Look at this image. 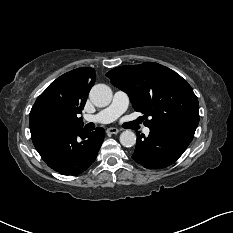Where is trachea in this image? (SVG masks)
<instances>
[{
	"label": "trachea",
	"mask_w": 233,
	"mask_h": 233,
	"mask_svg": "<svg viewBox=\"0 0 233 233\" xmlns=\"http://www.w3.org/2000/svg\"><path fill=\"white\" fill-rule=\"evenodd\" d=\"M88 125H91V126H92V128H94V124H93V123H89Z\"/></svg>",
	"instance_id": "trachea-1"
}]
</instances>
